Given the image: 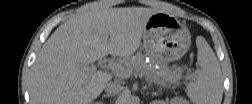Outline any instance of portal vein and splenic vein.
<instances>
[{
  "instance_id": "portal-vein-and-splenic-vein-1",
  "label": "portal vein and splenic vein",
  "mask_w": 252,
  "mask_h": 104,
  "mask_svg": "<svg viewBox=\"0 0 252 104\" xmlns=\"http://www.w3.org/2000/svg\"><path fill=\"white\" fill-rule=\"evenodd\" d=\"M108 67L114 71V73L122 78H129L131 77L132 73L128 71L127 69L123 68L119 64L116 63H110Z\"/></svg>"
}]
</instances>
